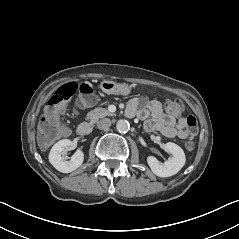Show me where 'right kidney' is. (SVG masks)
<instances>
[{"label":"right kidney","instance_id":"right-kidney-1","mask_svg":"<svg viewBox=\"0 0 239 239\" xmlns=\"http://www.w3.org/2000/svg\"><path fill=\"white\" fill-rule=\"evenodd\" d=\"M76 145L69 139H62L54 144L49 153V162L51 165L61 173H71L78 169L84 160L81 152H76L72 157L71 161H65L62 157L64 150H72Z\"/></svg>","mask_w":239,"mask_h":239}]
</instances>
